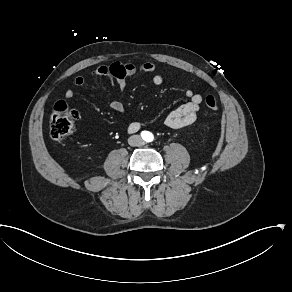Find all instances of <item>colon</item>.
I'll return each mask as SVG.
<instances>
[{
  "label": "colon",
  "mask_w": 292,
  "mask_h": 292,
  "mask_svg": "<svg viewBox=\"0 0 292 292\" xmlns=\"http://www.w3.org/2000/svg\"><path fill=\"white\" fill-rule=\"evenodd\" d=\"M204 106L210 111H216L219 108V102L216 97L207 96L204 100ZM79 117L80 112L76 107H71L63 101H57L54 104L50 118V134L56 144H62L71 134Z\"/></svg>",
  "instance_id": "colon-1"
}]
</instances>
